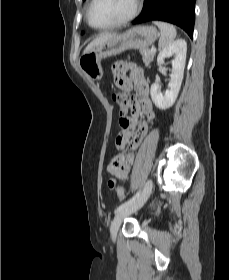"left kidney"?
<instances>
[{"instance_id":"5707ae66","label":"left kidney","mask_w":229,"mask_h":280,"mask_svg":"<svg viewBox=\"0 0 229 280\" xmlns=\"http://www.w3.org/2000/svg\"><path fill=\"white\" fill-rule=\"evenodd\" d=\"M187 43L183 39H178L166 48L160 51L157 57L158 65L164 63L166 57L175 55L172 61V69L168 89L164 95L159 90V84L151 85V98L156 107L161 110L170 108L176 101L183 80L185 61H186Z\"/></svg>"}]
</instances>
